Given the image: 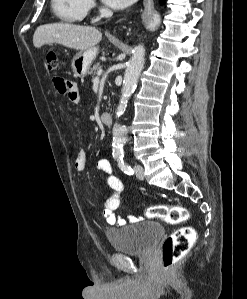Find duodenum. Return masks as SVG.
<instances>
[{
    "label": "duodenum",
    "mask_w": 247,
    "mask_h": 299,
    "mask_svg": "<svg viewBox=\"0 0 247 299\" xmlns=\"http://www.w3.org/2000/svg\"><path fill=\"white\" fill-rule=\"evenodd\" d=\"M101 121L103 122V124L107 125V126H111L112 122H113V117L112 114L109 112H103L100 116Z\"/></svg>",
    "instance_id": "duodenum-1"
}]
</instances>
